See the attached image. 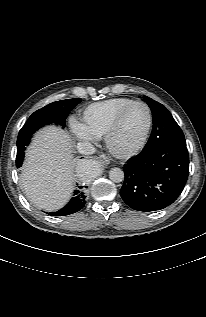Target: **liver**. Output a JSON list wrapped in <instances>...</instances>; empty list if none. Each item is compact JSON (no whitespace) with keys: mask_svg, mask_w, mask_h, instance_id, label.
Instances as JSON below:
<instances>
[{"mask_svg":"<svg viewBox=\"0 0 206 317\" xmlns=\"http://www.w3.org/2000/svg\"><path fill=\"white\" fill-rule=\"evenodd\" d=\"M70 141L67 132L49 126L35 135L28 148L21 183L35 207L56 211L69 200L74 169Z\"/></svg>","mask_w":206,"mask_h":317,"instance_id":"liver-1","label":"liver"}]
</instances>
